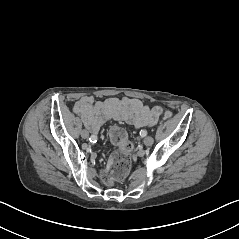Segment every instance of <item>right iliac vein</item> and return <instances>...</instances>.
<instances>
[{"instance_id": "right-iliac-vein-1", "label": "right iliac vein", "mask_w": 239, "mask_h": 239, "mask_svg": "<svg viewBox=\"0 0 239 239\" xmlns=\"http://www.w3.org/2000/svg\"><path fill=\"white\" fill-rule=\"evenodd\" d=\"M81 136H82V138L86 139L89 137V132L86 129H83L81 131Z\"/></svg>"}]
</instances>
